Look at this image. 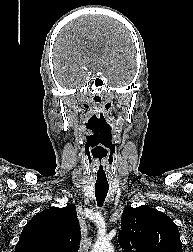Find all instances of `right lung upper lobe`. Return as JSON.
Returning a JSON list of instances; mask_svg holds the SVG:
<instances>
[{
    "label": "right lung upper lobe",
    "mask_w": 193,
    "mask_h": 252,
    "mask_svg": "<svg viewBox=\"0 0 193 252\" xmlns=\"http://www.w3.org/2000/svg\"><path fill=\"white\" fill-rule=\"evenodd\" d=\"M80 237L75 206L52 207L25 225L15 252H78Z\"/></svg>",
    "instance_id": "obj_1"
}]
</instances>
